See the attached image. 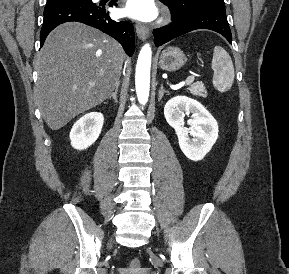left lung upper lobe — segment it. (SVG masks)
<instances>
[{"label": "left lung upper lobe", "mask_w": 289, "mask_h": 274, "mask_svg": "<svg viewBox=\"0 0 289 274\" xmlns=\"http://www.w3.org/2000/svg\"><path fill=\"white\" fill-rule=\"evenodd\" d=\"M178 17L200 7H217L225 9L223 0H160Z\"/></svg>", "instance_id": "obj_1"}]
</instances>
